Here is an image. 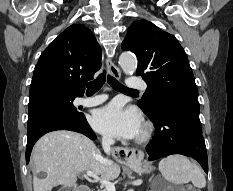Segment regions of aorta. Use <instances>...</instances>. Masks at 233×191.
Listing matches in <instances>:
<instances>
[{
	"label": "aorta",
	"instance_id": "762f6f07",
	"mask_svg": "<svg viewBox=\"0 0 233 191\" xmlns=\"http://www.w3.org/2000/svg\"><path fill=\"white\" fill-rule=\"evenodd\" d=\"M119 65L125 74L132 75L137 69V59L132 53L123 52L119 57Z\"/></svg>",
	"mask_w": 233,
	"mask_h": 191
}]
</instances>
